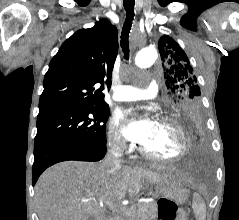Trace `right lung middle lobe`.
I'll use <instances>...</instances> for the list:
<instances>
[{"mask_svg":"<svg viewBox=\"0 0 239 220\" xmlns=\"http://www.w3.org/2000/svg\"><path fill=\"white\" fill-rule=\"evenodd\" d=\"M108 105L53 108L39 111L34 147L66 142L87 146L106 145Z\"/></svg>","mask_w":239,"mask_h":220,"instance_id":"dd1d6c3e","label":"right lung middle lobe"}]
</instances>
